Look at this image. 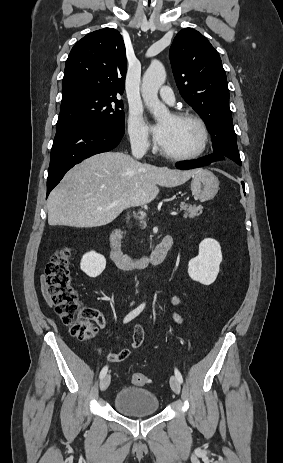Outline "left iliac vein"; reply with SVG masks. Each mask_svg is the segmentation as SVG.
<instances>
[{"instance_id": "1", "label": "left iliac vein", "mask_w": 283, "mask_h": 463, "mask_svg": "<svg viewBox=\"0 0 283 463\" xmlns=\"http://www.w3.org/2000/svg\"><path fill=\"white\" fill-rule=\"evenodd\" d=\"M170 386H171V389L173 390V392H175L176 394L180 393L181 385H180V382L178 381V379L176 378V376H171V378H170Z\"/></svg>"}]
</instances>
